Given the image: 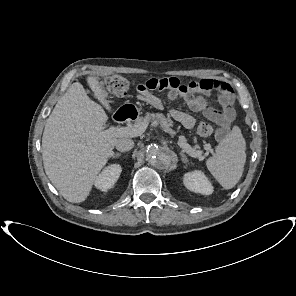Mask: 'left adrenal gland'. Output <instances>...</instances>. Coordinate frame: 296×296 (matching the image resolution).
Masks as SVG:
<instances>
[{
	"instance_id": "obj_1",
	"label": "left adrenal gland",
	"mask_w": 296,
	"mask_h": 296,
	"mask_svg": "<svg viewBox=\"0 0 296 296\" xmlns=\"http://www.w3.org/2000/svg\"><path fill=\"white\" fill-rule=\"evenodd\" d=\"M180 156H181V160H182L184 163L188 162V159H187V157L185 156V154H184L183 152H180Z\"/></svg>"
}]
</instances>
